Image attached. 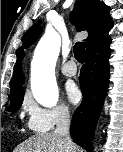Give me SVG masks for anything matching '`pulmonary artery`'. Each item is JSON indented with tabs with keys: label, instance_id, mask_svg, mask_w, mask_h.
<instances>
[{
	"label": "pulmonary artery",
	"instance_id": "e3ab8cb5",
	"mask_svg": "<svg viewBox=\"0 0 123 152\" xmlns=\"http://www.w3.org/2000/svg\"><path fill=\"white\" fill-rule=\"evenodd\" d=\"M61 72L68 77L74 76L77 73V67L76 64L73 61L66 62L61 67Z\"/></svg>",
	"mask_w": 123,
	"mask_h": 152
}]
</instances>
